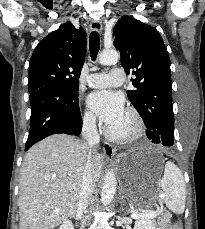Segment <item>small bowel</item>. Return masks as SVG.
<instances>
[{"instance_id":"small-bowel-1","label":"small bowel","mask_w":205,"mask_h":229,"mask_svg":"<svg viewBox=\"0 0 205 229\" xmlns=\"http://www.w3.org/2000/svg\"><path fill=\"white\" fill-rule=\"evenodd\" d=\"M167 229H181L180 225L175 223V224H172L171 226H169Z\"/></svg>"}]
</instances>
